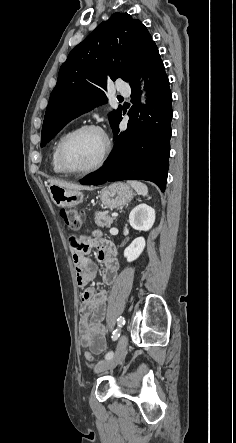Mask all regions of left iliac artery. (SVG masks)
Segmentation results:
<instances>
[{
	"instance_id": "44dca946",
	"label": "left iliac artery",
	"mask_w": 236,
	"mask_h": 443,
	"mask_svg": "<svg viewBox=\"0 0 236 443\" xmlns=\"http://www.w3.org/2000/svg\"><path fill=\"white\" fill-rule=\"evenodd\" d=\"M124 324H125V319H124V317L120 316V317L117 319V325H118V327H117V329H115V330L113 331V333H112V340H113V341H116V340L119 338L120 333H121V328L124 326ZM112 356H113V352L110 351V352H108V353L105 355V359H110V358H112Z\"/></svg>"
}]
</instances>
